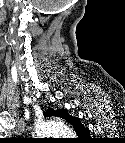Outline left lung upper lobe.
<instances>
[{
  "instance_id": "obj_1",
  "label": "left lung upper lobe",
  "mask_w": 125,
  "mask_h": 143,
  "mask_svg": "<svg viewBox=\"0 0 125 143\" xmlns=\"http://www.w3.org/2000/svg\"><path fill=\"white\" fill-rule=\"evenodd\" d=\"M67 113V111L65 109H58L57 111L53 110V109H48L46 112H44V115L46 117H50V116H58L61 118H64L65 114ZM75 132L77 133V135H82L83 132H85L87 129L79 123L73 125Z\"/></svg>"
}]
</instances>
